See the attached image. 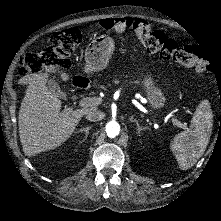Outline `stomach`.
Here are the masks:
<instances>
[{"label":"stomach","instance_id":"obj_1","mask_svg":"<svg viewBox=\"0 0 221 221\" xmlns=\"http://www.w3.org/2000/svg\"><path fill=\"white\" fill-rule=\"evenodd\" d=\"M113 43L105 36L94 39L85 50V62L87 71L92 74L103 70L110 59ZM149 89V99L156 107H161L164 101L162 94L155 89L150 78L145 82Z\"/></svg>","mask_w":221,"mask_h":221}]
</instances>
